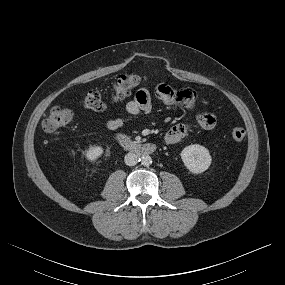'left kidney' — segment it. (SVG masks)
I'll return each instance as SVG.
<instances>
[{"mask_svg":"<svg viewBox=\"0 0 285 285\" xmlns=\"http://www.w3.org/2000/svg\"><path fill=\"white\" fill-rule=\"evenodd\" d=\"M180 155L184 165L194 174L206 171L211 165L212 158L209 150L199 144L185 147Z\"/></svg>","mask_w":285,"mask_h":285,"instance_id":"1","label":"left kidney"}]
</instances>
